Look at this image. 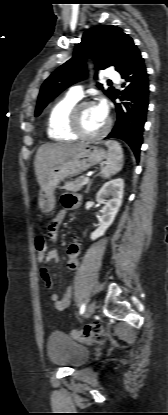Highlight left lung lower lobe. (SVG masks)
<instances>
[{
	"instance_id": "0a47b994",
	"label": "left lung lower lobe",
	"mask_w": 168,
	"mask_h": 415,
	"mask_svg": "<svg viewBox=\"0 0 168 415\" xmlns=\"http://www.w3.org/2000/svg\"><path fill=\"white\" fill-rule=\"evenodd\" d=\"M125 80L121 92L115 90L112 101L119 98L122 103H115L117 121L105 139L124 140L139 160L140 147L143 143L144 124L148 111L149 83L144 60L138 53L129 66L121 73Z\"/></svg>"
}]
</instances>
